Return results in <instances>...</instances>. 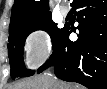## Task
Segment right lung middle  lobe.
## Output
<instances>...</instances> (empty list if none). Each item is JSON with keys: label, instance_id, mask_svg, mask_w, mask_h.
Masks as SVG:
<instances>
[{"label": "right lung middle lobe", "instance_id": "right-lung-middle-lobe-1", "mask_svg": "<svg viewBox=\"0 0 107 89\" xmlns=\"http://www.w3.org/2000/svg\"><path fill=\"white\" fill-rule=\"evenodd\" d=\"M35 30L46 31L51 36L54 48L64 28H57V24L52 21L51 17L9 28L8 55L11 67L10 75L13 79L30 76L34 73V71L26 70L24 66L23 48L26 37Z\"/></svg>", "mask_w": 107, "mask_h": 89}]
</instances>
